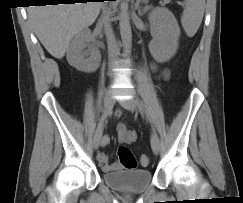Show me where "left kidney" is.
I'll return each instance as SVG.
<instances>
[{
	"label": "left kidney",
	"instance_id": "5707ae66",
	"mask_svg": "<svg viewBox=\"0 0 243 203\" xmlns=\"http://www.w3.org/2000/svg\"><path fill=\"white\" fill-rule=\"evenodd\" d=\"M151 35L149 50L157 62L170 60L177 52L180 28L174 15L164 8H157L149 15Z\"/></svg>",
	"mask_w": 243,
	"mask_h": 203
}]
</instances>
